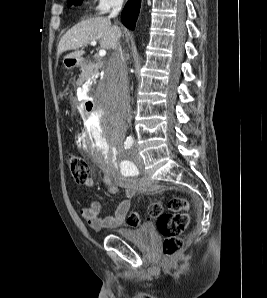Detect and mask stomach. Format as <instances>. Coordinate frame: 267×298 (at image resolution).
Instances as JSON below:
<instances>
[{"label":"stomach","mask_w":267,"mask_h":298,"mask_svg":"<svg viewBox=\"0 0 267 298\" xmlns=\"http://www.w3.org/2000/svg\"><path fill=\"white\" fill-rule=\"evenodd\" d=\"M79 59H75V63H74V66H76V65H79Z\"/></svg>","instance_id":"0dacf381"}]
</instances>
